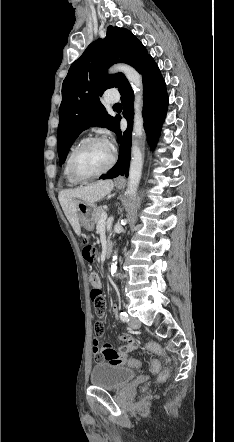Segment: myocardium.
<instances>
[{
    "instance_id": "myocardium-1",
    "label": "myocardium",
    "mask_w": 234,
    "mask_h": 442,
    "mask_svg": "<svg viewBox=\"0 0 234 442\" xmlns=\"http://www.w3.org/2000/svg\"><path fill=\"white\" fill-rule=\"evenodd\" d=\"M97 142H106V139L101 136H93V137L86 138V139L82 140L77 146H75L74 149L71 151V153L68 157V169H69L71 176L75 180H77L79 182H86V181L98 178V177L106 174L107 172H109L113 168V166L115 165L117 156H116V153L114 151H112V156H111L110 162L103 170H101L95 174H92V175H81L75 170L73 161H74L76 154L80 150L85 148L86 146H88L92 143H97Z\"/></svg>"
}]
</instances>
